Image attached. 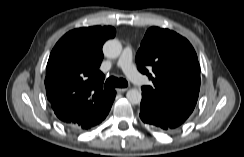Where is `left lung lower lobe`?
Listing matches in <instances>:
<instances>
[{
  "instance_id": "0a47b994",
  "label": "left lung lower lobe",
  "mask_w": 244,
  "mask_h": 157,
  "mask_svg": "<svg viewBox=\"0 0 244 157\" xmlns=\"http://www.w3.org/2000/svg\"><path fill=\"white\" fill-rule=\"evenodd\" d=\"M140 118L155 131L169 132L175 129V127L164 120L160 113L149 102L143 99L140 104Z\"/></svg>"
}]
</instances>
